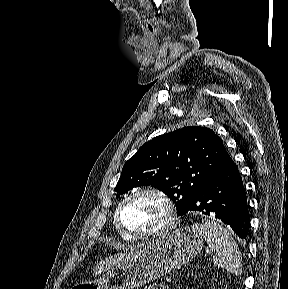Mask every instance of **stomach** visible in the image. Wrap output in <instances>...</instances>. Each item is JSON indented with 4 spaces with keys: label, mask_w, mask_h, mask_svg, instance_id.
<instances>
[{
    "label": "stomach",
    "mask_w": 288,
    "mask_h": 289,
    "mask_svg": "<svg viewBox=\"0 0 288 289\" xmlns=\"http://www.w3.org/2000/svg\"><path fill=\"white\" fill-rule=\"evenodd\" d=\"M202 246V235L193 226L179 227L98 280L76 284L72 289H135L185 265L197 256Z\"/></svg>",
    "instance_id": "stomach-1"
}]
</instances>
